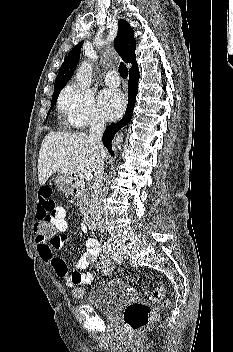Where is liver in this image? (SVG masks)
I'll return each mask as SVG.
<instances>
[{
    "label": "liver",
    "mask_w": 233,
    "mask_h": 352,
    "mask_svg": "<svg viewBox=\"0 0 233 352\" xmlns=\"http://www.w3.org/2000/svg\"><path fill=\"white\" fill-rule=\"evenodd\" d=\"M105 157L103 146L90 141L84 132H50L43 139L39 151V183L44 185L54 173H93Z\"/></svg>",
    "instance_id": "obj_1"
}]
</instances>
